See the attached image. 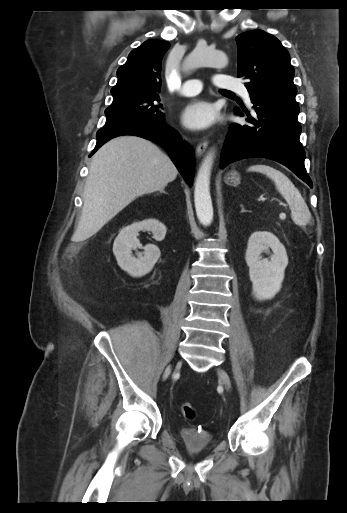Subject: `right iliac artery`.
Returning a JSON list of instances; mask_svg holds the SVG:
<instances>
[{"instance_id": "obj_1", "label": "right iliac artery", "mask_w": 347, "mask_h": 513, "mask_svg": "<svg viewBox=\"0 0 347 513\" xmlns=\"http://www.w3.org/2000/svg\"><path fill=\"white\" fill-rule=\"evenodd\" d=\"M170 373V368H167L164 374V378H166Z\"/></svg>"}]
</instances>
